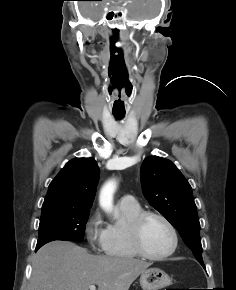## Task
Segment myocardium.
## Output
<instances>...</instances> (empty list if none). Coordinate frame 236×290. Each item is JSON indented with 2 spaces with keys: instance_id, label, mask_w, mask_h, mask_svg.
Segmentation results:
<instances>
[{
  "instance_id": "1",
  "label": "myocardium",
  "mask_w": 236,
  "mask_h": 290,
  "mask_svg": "<svg viewBox=\"0 0 236 290\" xmlns=\"http://www.w3.org/2000/svg\"><path fill=\"white\" fill-rule=\"evenodd\" d=\"M150 217H155V218L160 219L167 226V228L169 229L172 235V246L169 249V251H167L166 253L159 254V255L151 254L144 247L143 240H142V230H143V225L145 221ZM129 235H130V240H131V243L135 252L139 256L145 259H149V260L158 261V260H164V259L169 258L176 252L178 248V244H179L178 232L175 226L172 224V222L162 213L157 212V211H152V210L141 211L130 221Z\"/></svg>"
}]
</instances>
